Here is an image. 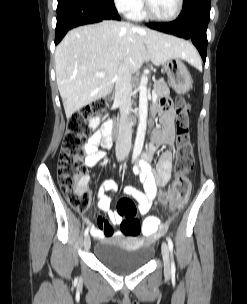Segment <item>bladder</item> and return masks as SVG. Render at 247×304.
Wrapping results in <instances>:
<instances>
[{
    "mask_svg": "<svg viewBox=\"0 0 247 304\" xmlns=\"http://www.w3.org/2000/svg\"><path fill=\"white\" fill-rule=\"evenodd\" d=\"M155 250L131 238L104 239L95 248V257L104 267L117 274H127L144 268Z\"/></svg>",
    "mask_w": 247,
    "mask_h": 304,
    "instance_id": "bladder-1",
    "label": "bladder"
}]
</instances>
